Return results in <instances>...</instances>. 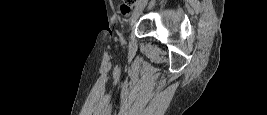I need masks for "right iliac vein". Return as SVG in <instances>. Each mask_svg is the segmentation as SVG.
Here are the masks:
<instances>
[{
  "label": "right iliac vein",
  "instance_id": "right-iliac-vein-1",
  "mask_svg": "<svg viewBox=\"0 0 267 115\" xmlns=\"http://www.w3.org/2000/svg\"><path fill=\"white\" fill-rule=\"evenodd\" d=\"M146 4H147L146 2H139V4L136 6V8L134 9V11L132 13L131 25H132V23H134L138 19L139 15L144 10Z\"/></svg>",
  "mask_w": 267,
  "mask_h": 115
}]
</instances>
